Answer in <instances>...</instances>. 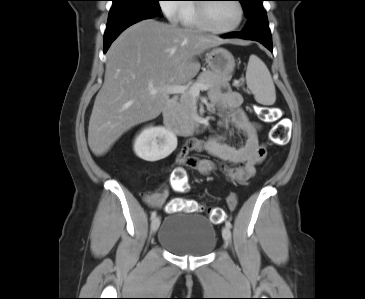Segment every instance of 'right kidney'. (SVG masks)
<instances>
[{
  "label": "right kidney",
  "instance_id": "obj_1",
  "mask_svg": "<svg viewBox=\"0 0 365 299\" xmlns=\"http://www.w3.org/2000/svg\"><path fill=\"white\" fill-rule=\"evenodd\" d=\"M176 147V135L163 126L145 128L134 141L135 154L149 162L168 157Z\"/></svg>",
  "mask_w": 365,
  "mask_h": 299
}]
</instances>
